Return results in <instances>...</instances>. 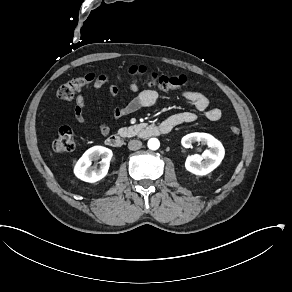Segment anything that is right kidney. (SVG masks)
I'll return each instance as SVG.
<instances>
[{
	"instance_id": "1",
	"label": "right kidney",
	"mask_w": 292,
	"mask_h": 292,
	"mask_svg": "<svg viewBox=\"0 0 292 292\" xmlns=\"http://www.w3.org/2000/svg\"><path fill=\"white\" fill-rule=\"evenodd\" d=\"M101 160L99 169L90 167L92 161ZM113 157L112 150L103 146H94L88 149L76 162L73 172L74 175L85 182L96 183L102 180L109 170L110 161Z\"/></svg>"
}]
</instances>
